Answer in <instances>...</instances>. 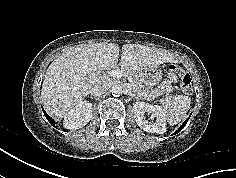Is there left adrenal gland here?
Wrapping results in <instances>:
<instances>
[{
    "label": "left adrenal gland",
    "instance_id": "obj_1",
    "mask_svg": "<svg viewBox=\"0 0 236 178\" xmlns=\"http://www.w3.org/2000/svg\"><path fill=\"white\" fill-rule=\"evenodd\" d=\"M133 97H134L136 100H139V97L135 96L134 94H133Z\"/></svg>",
    "mask_w": 236,
    "mask_h": 178
}]
</instances>
